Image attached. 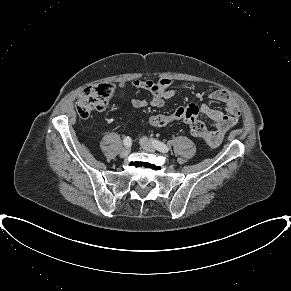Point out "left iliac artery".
I'll return each instance as SVG.
<instances>
[{"label": "left iliac artery", "mask_w": 291, "mask_h": 291, "mask_svg": "<svg viewBox=\"0 0 291 291\" xmlns=\"http://www.w3.org/2000/svg\"><path fill=\"white\" fill-rule=\"evenodd\" d=\"M152 144L155 146V148L163 153H167L169 151V148L167 145H165L164 143L156 140V139H151Z\"/></svg>", "instance_id": "obj_1"}]
</instances>
